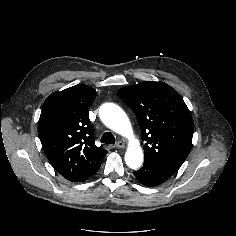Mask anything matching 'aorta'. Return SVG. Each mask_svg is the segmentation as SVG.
<instances>
[{"label": "aorta", "mask_w": 236, "mask_h": 236, "mask_svg": "<svg viewBox=\"0 0 236 236\" xmlns=\"http://www.w3.org/2000/svg\"><path fill=\"white\" fill-rule=\"evenodd\" d=\"M100 118L107 127L124 137L130 138L125 162L132 169L140 167L143 162V152L139 142L133 139L131 123L123 109L116 104L106 103L100 108Z\"/></svg>", "instance_id": "obj_1"}]
</instances>
